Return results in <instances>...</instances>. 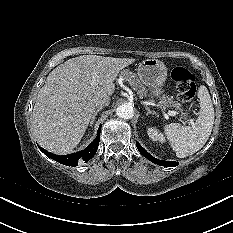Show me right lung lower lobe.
Masks as SVG:
<instances>
[{"instance_id": "right-lung-lower-lobe-1", "label": "right lung lower lobe", "mask_w": 233, "mask_h": 233, "mask_svg": "<svg viewBox=\"0 0 233 233\" xmlns=\"http://www.w3.org/2000/svg\"><path fill=\"white\" fill-rule=\"evenodd\" d=\"M100 129H101V126L99 127L98 132H97V137L93 140V142L88 147H86L84 150L79 151L77 153L59 156V155H55L53 153L47 152L40 146L38 147L47 157L61 164H64L66 166L75 167L78 164L79 160L88 162L95 155L97 148L99 146V141H100Z\"/></svg>"}]
</instances>
